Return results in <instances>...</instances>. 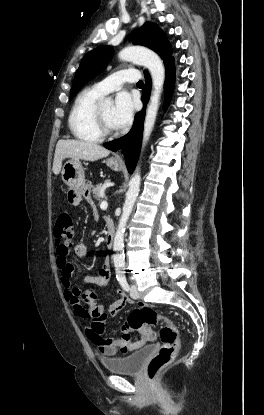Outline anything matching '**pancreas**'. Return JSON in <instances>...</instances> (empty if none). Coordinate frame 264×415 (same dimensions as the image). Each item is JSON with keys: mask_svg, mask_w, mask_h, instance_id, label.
<instances>
[{"mask_svg": "<svg viewBox=\"0 0 264 415\" xmlns=\"http://www.w3.org/2000/svg\"><path fill=\"white\" fill-rule=\"evenodd\" d=\"M106 188L103 185H97L92 189V193L95 195V198L98 201H101L102 198L105 196Z\"/></svg>", "mask_w": 264, "mask_h": 415, "instance_id": "pancreas-1", "label": "pancreas"}]
</instances>
